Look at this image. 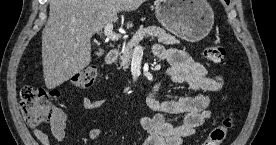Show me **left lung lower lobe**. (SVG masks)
Segmentation results:
<instances>
[{"instance_id": "obj_1", "label": "left lung lower lobe", "mask_w": 276, "mask_h": 145, "mask_svg": "<svg viewBox=\"0 0 276 145\" xmlns=\"http://www.w3.org/2000/svg\"><path fill=\"white\" fill-rule=\"evenodd\" d=\"M227 4H229V0H225Z\"/></svg>"}]
</instances>
